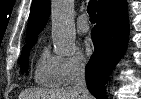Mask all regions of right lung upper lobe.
Wrapping results in <instances>:
<instances>
[{"label":"right lung upper lobe","instance_id":"obj_1","mask_svg":"<svg viewBox=\"0 0 141 99\" xmlns=\"http://www.w3.org/2000/svg\"><path fill=\"white\" fill-rule=\"evenodd\" d=\"M108 0H99L98 8ZM50 0H33L29 15L27 43H35L37 35L45 27L50 16Z\"/></svg>","mask_w":141,"mask_h":99}]
</instances>
